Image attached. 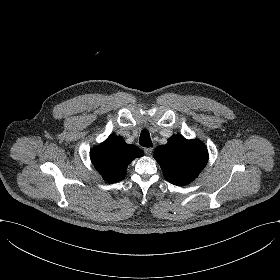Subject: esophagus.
<instances>
[{
	"instance_id": "34e87169",
	"label": "esophagus",
	"mask_w": 280,
	"mask_h": 280,
	"mask_svg": "<svg viewBox=\"0 0 280 280\" xmlns=\"http://www.w3.org/2000/svg\"><path fill=\"white\" fill-rule=\"evenodd\" d=\"M152 152H153V149H152V148H145V149H144V153H145L147 156H151V155H152Z\"/></svg>"
}]
</instances>
